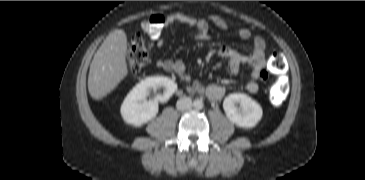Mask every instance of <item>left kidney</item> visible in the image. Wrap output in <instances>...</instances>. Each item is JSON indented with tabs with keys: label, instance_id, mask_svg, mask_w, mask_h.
Instances as JSON below:
<instances>
[{
	"label": "left kidney",
	"instance_id": "left-kidney-1",
	"mask_svg": "<svg viewBox=\"0 0 365 180\" xmlns=\"http://www.w3.org/2000/svg\"><path fill=\"white\" fill-rule=\"evenodd\" d=\"M223 108L228 119L242 128L255 127L263 114L261 106L256 101L241 93L227 96Z\"/></svg>",
	"mask_w": 365,
	"mask_h": 180
}]
</instances>
